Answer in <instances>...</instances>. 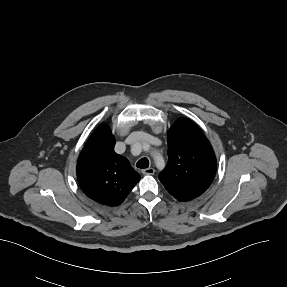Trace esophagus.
<instances>
[{"mask_svg":"<svg viewBox=\"0 0 287 287\" xmlns=\"http://www.w3.org/2000/svg\"><path fill=\"white\" fill-rule=\"evenodd\" d=\"M142 173L144 175H153L155 173V170L153 168H147V169H143Z\"/></svg>","mask_w":287,"mask_h":287,"instance_id":"34e87169","label":"esophagus"}]
</instances>
